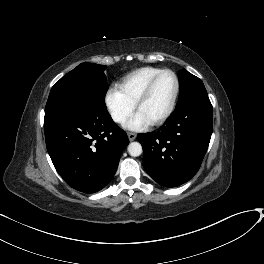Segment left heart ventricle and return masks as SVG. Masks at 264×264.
<instances>
[{"label": "left heart ventricle", "instance_id": "left-heart-ventricle-1", "mask_svg": "<svg viewBox=\"0 0 264 264\" xmlns=\"http://www.w3.org/2000/svg\"><path fill=\"white\" fill-rule=\"evenodd\" d=\"M175 90V80L171 74H163L154 85L148 99L139 107L138 112L149 122L156 120L168 108Z\"/></svg>", "mask_w": 264, "mask_h": 264}]
</instances>
